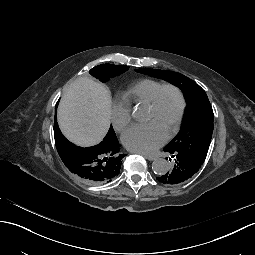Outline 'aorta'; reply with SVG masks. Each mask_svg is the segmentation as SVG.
<instances>
[{
	"mask_svg": "<svg viewBox=\"0 0 255 255\" xmlns=\"http://www.w3.org/2000/svg\"><path fill=\"white\" fill-rule=\"evenodd\" d=\"M132 116L136 120L143 118V114L140 110L133 111ZM152 170L157 175H163L169 171V163L164 158H157L152 163Z\"/></svg>",
	"mask_w": 255,
	"mask_h": 255,
	"instance_id": "aorta-1",
	"label": "aorta"
}]
</instances>
